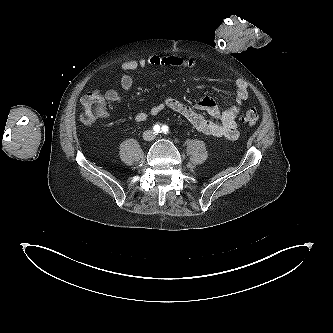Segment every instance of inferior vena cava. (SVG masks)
Segmentation results:
<instances>
[{
  "label": "inferior vena cava",
  "mask_w": 333,
  "mask_h": 333,
  "mask_svg": "<svg viewBox=\"0 0 333 333\" xmlns=\"http://www.w3.org/2000/svg\"><path fill=\"white\" fill-rule=\"evenodd\" d=\"M143 138L148 141L154 139V132L151 130H146L143 133Z\"/></svg>",
  "instance_id": "1"
}]
</instances>
